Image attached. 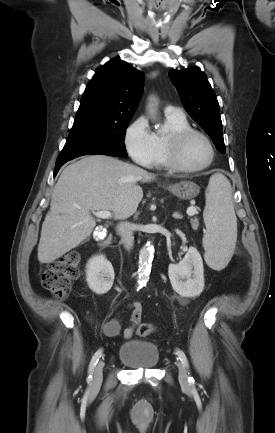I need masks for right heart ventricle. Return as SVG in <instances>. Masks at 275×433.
<instances>
[{
  "mask_svg": "<svg viewBox=\"0 0 275 433\" xmlns=\"http://www.w3.org/2000/svg\"><path fill=\"white\" fill-rule=\"evenodd\" d=\"M165 124L167 131L155 132V156L152 162V166L156 168H170L166 159V139L168 135L190 128V124L185 116H173L165 114Z\"/></svg>",
  "mask_w": 275,
  "mask_h": 433,
  "instance_id": "e07e8e85",
  "label": "right heart ventricle"
}]
</instances>
